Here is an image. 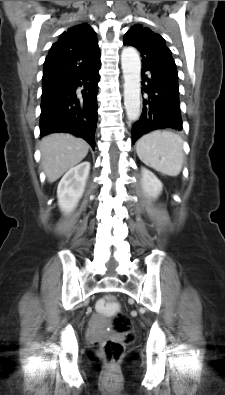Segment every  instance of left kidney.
<instances>
[{"mask_svg":"<svg viewBox=\"0 0 225 395\" xmlns=\"http://www.w3.org/2000/svg\"><path fill=\"white\" fill-rule=\"evenodd\" d=\"M142 187L145 193L152 198H157L162 191L161 181L146 168L141 169Z\"/></svg>","mask_w":225,"mask_h":395,"instance_id":"1","label":"left kidney"}]
</instances>
